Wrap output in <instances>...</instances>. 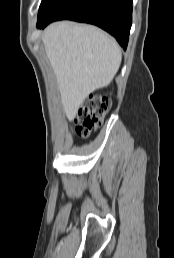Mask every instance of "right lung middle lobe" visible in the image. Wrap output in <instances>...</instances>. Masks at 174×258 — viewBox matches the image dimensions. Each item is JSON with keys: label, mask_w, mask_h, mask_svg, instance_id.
<instances>
[{"label": "right lung middle lobe", "mask_w": 174, "mask_h": 258, "mask_svg": "<svg viewBox=\"0 0 174 258\" xmlns=\"http://www.w3.org/2000/svg\"><path fill=\"white\" fill-rule=\"evenodd\" d=\"M63 0H42L37 25L45 21Z\"/></svg>", "instance_id": "right-lung-middle-lobe-1"}]
</instances>
